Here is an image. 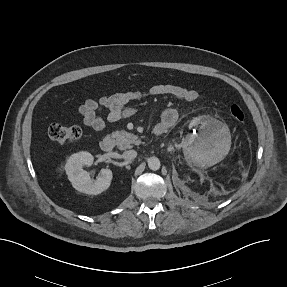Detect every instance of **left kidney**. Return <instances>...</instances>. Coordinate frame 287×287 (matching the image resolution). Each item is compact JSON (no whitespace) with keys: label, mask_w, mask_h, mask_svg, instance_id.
I'll list each match as a JSON object with an SVG mask.
<instances>
[{"label":"left kidney","mask_w":287,"mask_h":287,"mask_svg":"<svg viewBox=\"0 0 287 287\" xmlns=\"http://www.w3.org/2000/svg\"><path fill=\"white\" fill-rule=\"evenodd\" d=\"M200 123L194 119L190 127H195ZM209 128L203 137L188 134L183 139L184 149H190L191 155L198 160L203 157H209L206 162L197 161L201 166H210L216 164L228 154L231 144L230 132L225 127H211L202 125V128Z\"/></svg>","instance_id":"obj_1"}]
</instances>
